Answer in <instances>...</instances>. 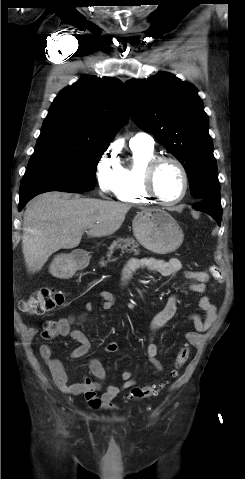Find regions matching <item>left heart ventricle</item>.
I'll return each instance as SVG.
<instances>
[{
    "instance_id": "obj_1",
    "label": "left heart ventricle",
    "mask_w": 245,
    "mask_h": 479,
    "mask_svg": "<svg viewBox=\"0 0 245 479\" xmlns=\"http://www.w3.org/2000/svg\"><path fill=\"white\" fill-rule=\"evenodd\" d=\"M156 190L160 197L172 201L180 197L183 179L179 169L172 163L161 166L156 175Z\"/></svg>"
}]
</instances>
